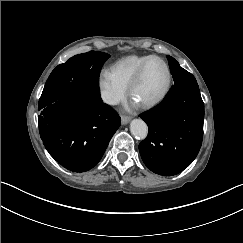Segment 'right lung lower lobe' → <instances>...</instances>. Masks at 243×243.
<instances>
[{"instance_id": "obj_1", "label": "right lung lower lobe", "mask_w": 243, "mask_h": 243, "mask_svg": "<svg viewBox=\"0 0 243 243\" xmlns=\"http://www.w3.org/2000/svg\"><path fill=\"white\" fill-rule=\"evenodd\" d=\"M121 123L100 95L69 92L41 109L40 136L50 155L64 168L84 172L103 156Z\"/></svg>"}]
</instances>
